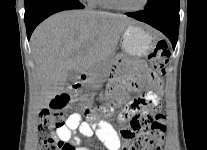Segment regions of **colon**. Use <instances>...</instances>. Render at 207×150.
<instances>
[{"mask_svg": "<svg viewBox=\"0 0 207 150\" xmlns=\"http://www.w3.org/2000/svg\"><path fill=\"white\" fill-rule=\"evenodd\" d=\"M169 56L170 51L164 40L159 41L149 54L148 60L152 69V77L148 78L149 86L143 87V95L139 101L136 99L129 103L130 107H141L137 114L142 116V119L139 116L122 114V118L130 123L129 127L121 131L122 150H162L166 116L161 112L153 116V111H156V107L161 103L160 99H156L158 87L162 86V80L157 75L165 74ZM67 98V95H60L56 100H52L51 109L40 113L38 127L41 132H48L65 124L67 115L62 107L71 105V100ZM109 111L110 108L106 110ZM40 150H73V146L47 135L42 138Z\"/></svg>", "mask_w": 207, "mask_h": 150, "instance_id": "colon-1", "label": "colon"}]
</instances>
